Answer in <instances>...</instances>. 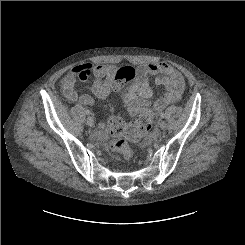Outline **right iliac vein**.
Here are the masks:
<instances>
[{"label":"right iliac vein","instance_id":"63e3f726","mask_svg":"<svg viewBox=\"0 0 245 245\" xmlns=\"http://www.w3.org/2000/svg\"><path fill=\"white\" fill-rule=\"evenodd\" d=\"M86 122H87V125L90 126V127H92L93 124H94V121H93V118L92 117H88L87 120H86Z\"/></svg>","mask_w":245,"mask_h":245}]
</instances>
